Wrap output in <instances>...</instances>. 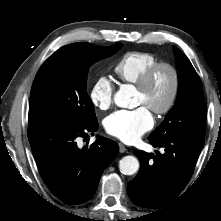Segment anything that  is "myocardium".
<instances>
[{
  "instance_id": "myocardium-1",
  "label": "myocardium",
  "mask_w": 221,
  "mask_h": 221,
  "mask_svg": "<svg viewBox=\"0 0 221 221\" xmlns=\"http://www.w3.org/2000/svg\"><path fill=\"white\" fill-rule=\"evenodd\" d=\"M162 69H166L170 72L171 77H172V85H171V91H170V94L166 103L160 108H155L151 110L156 115H166L172 110V108L174 107L177 101L179 91H180V84H181L180 73H179L178 68L170 62L159 61L153 64L152 66H150L142 74V76L139 78V80L135 84L137 90L141 92L145 91L149 87L150 83L152 82L156 74Z\"/></svg>"
}]
</instances>
